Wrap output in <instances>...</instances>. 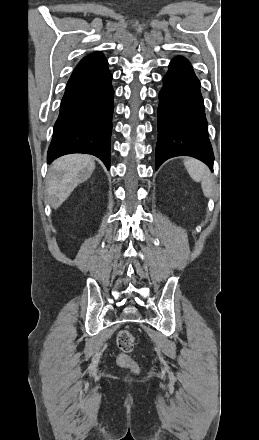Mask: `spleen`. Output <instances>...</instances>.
<instances>
[{
    "label": "spleen",
    "instance_id": "1",
    "mask_svg": "<svg viewBox=\"0 0 259 440\" xmlns=\"http://www.w3.org/2000/svg\"><path fill=\"white\" fill-rule=\"evenodd\" d=\"M184 165L190 177L196 182H201L204 195L209 197L213 189V180L207 167L196 159H187Z\"/></svg>",
    "mask_w": 259,
    "mask_h": 440
}]
</instances>
